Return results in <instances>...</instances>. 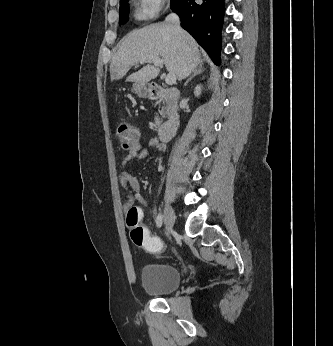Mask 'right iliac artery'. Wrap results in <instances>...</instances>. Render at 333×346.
<instances>
[{"instance_id":"1","label":"right iliac artery","mask_w":333,"mask_h":346,"mask_svg":"<svg viewBox=\"0 0 333 346\" xmlns=\"http://www.w3.org/2000/svg\"><path fill=\"white\" fill-rule=\"evenodd\" d=\"M163 224V216L161 214H158L156 217V225L158 228H160Z\"/></svg>"}]
</instances>
